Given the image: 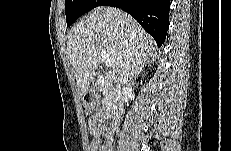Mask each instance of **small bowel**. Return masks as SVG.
<instances>
[{"label":"small bowel","instance_id":"small-bowel-1","mask_svg":"<svg viewBox=\"0 0 231 151\" xmlns=\"http://www.w3.org/2000/svg\"><path fill=\"white\" fill-rule=\"evenodd\" d=\"M103 119V115L96 113L89 119V131L91 136V151H112L110 131L104 126L99 125ZM103 138L105 141L103 142Z\"/></svg>","mask_w":231,"mask_h":151}]
</instances>
